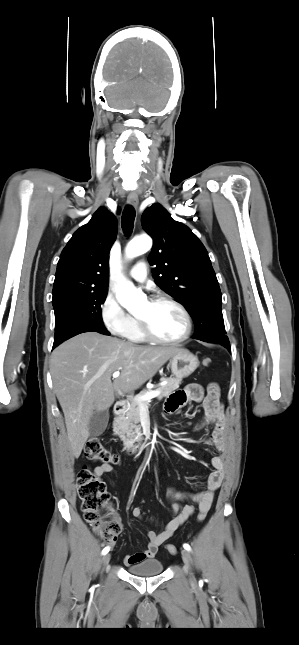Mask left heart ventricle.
<instances>
[{"label":"left heart ventricle","mask_w":299,"mask_h":645,"mask_svg":"<svg viewBox=\"0 0 299 645\" xmlns=\"http://www.w3.org/2000/svg\"><path fill=\"white\" fill-rule=\"evenodd\" d=\"M137 316L146 319L152 331L161 338L174 339L185 330V321L180 311L168 303L152 304L145 301Z\"/></svg>","instance_id":"1"}]
</instances>
